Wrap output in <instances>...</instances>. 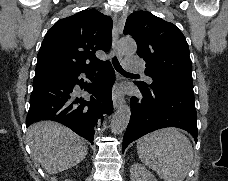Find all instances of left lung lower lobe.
Segmentation results:
<instances>
[{"instance_id": "left-lung-lower-lobe-1", "label": "left lung lower lobe", "mask_w": 228, "mask_h": 181, "mask_svg": "<svg viewBox=\"0 0 228 181\" xmlns=\"http://www.w3.org/2000/svg\"><path fill=\"white\" fill-rule=\"evenodd\" d=\"M133 79H138L132 77ZM141 97L130 100L131 118L123 137L122 153L134 140L152 131L177 127L188 131L197 142V114L193 89L152 77L149 84L135 81Z\"/></svg>"}]
</instances>
